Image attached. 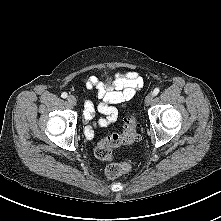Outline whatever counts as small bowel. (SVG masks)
Instances as JSON below:
<instances>
[{"label":"small bowel","mask_w":221,"mask_h":221,"mask_svg":"<svg viewBox=\"0 0 221 221\" xmlns=\"http://www.w3.org/2000/svg\"><path fill=\"white\" fill-rule=\"evenodd\" d=\"M88 90H95L100 102L95 106L91 101L85 103L84 119L86 123L85 136L91 140L96 137V127H106L116 121L118 111L115 104L124 103L135 96L143 85V79L135 70L126 73L117 72L111 80L101 81L95 76L83 80ZM102 117L94 121L95 112Z\"/></svg>","instance_id":"small-bowel-1"}]
</instances>
